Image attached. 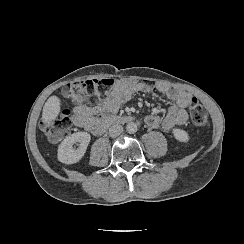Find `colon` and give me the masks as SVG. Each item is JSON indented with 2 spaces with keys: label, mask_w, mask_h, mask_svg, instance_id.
Returning <instances> with one entry per match:
<instances>
[{
  "label": "colon",
  "mask_w": 244,
  "mask_h": 244,
  "mask_svg": "<svg viewBox=\"0 0 244 244\" xmlns=\"http://www.w3.org/2000/svg\"><path fill=\"white\" fill-rule=\"evenodd\" d=\"M116 84L114 78H104L92 81H82L70 83L65 86L64 92L69 94L70 97L76 102H82L84 100L87 103L93 104L100 98V94L105 92L106 88H110ZM86 95L82 94V88H86ZM146 87L150 90H156L153 84L148 83ZM101 97H104L103 95ZM74 116L70 113H61L57 115L53 120L43 121L41 124L42 130L51 141H56L67 137L71 133V122L73 121ZM190 120L191 123L197 127H205L209 120L208 114L203 107V105L193 100L190 105Z\"/></svg>",
  "instance_id": "colon-1"
}]
</instances>
